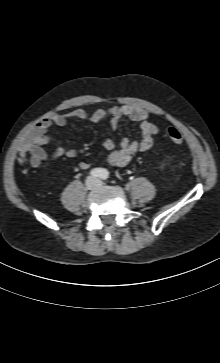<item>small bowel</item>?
I'll return each mask as SVG.
<instances>
[{"label": "small bowel", "mask_w": 220, "mask_h": 363, "mask_svg": "<svg viewBox=\"0 0 220 363\" xmlns=\"http://www.w3.org/2000/svg\"><path fill=\"white\" fill-rule=\"evenodd\" d=\"M106 116L111 117L110 125L113 130L118 128L122 118H127L137 123L141 130V138L139 140L124 138L119 146H116L115 142L110 138L103 141V147L109 151L107 163L110 166L119 167L127 165L138 153L147 151L152 147L154 139L158 134V128L144 109L132 106L99 108L96 110L79 108L67 114H54L41 120L30 132L28 140L18 150L20 162L24 165L29 164L33 168H39L44 162L56 161L62 157H76L77 150L66 149L61 145H58L51 154L42 148L43 145L54 141L48 135L50 127L54 125L63 127L67 124L68 119H82L97 123ZM78 166L80 169L86 170L90 168L91 163L80 162Z\"/></svg>", "instance_id": "obj_1"}]
</instances>
